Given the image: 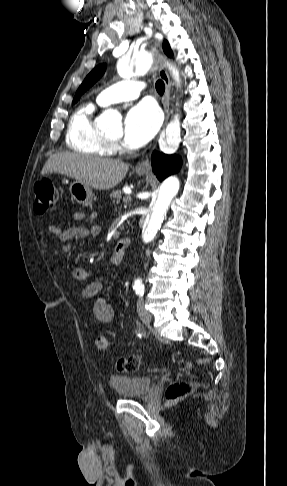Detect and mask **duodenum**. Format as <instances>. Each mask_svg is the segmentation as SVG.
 <instances>
[{"instance_id":"obj_1","label":"duodenum","mask_w":287,"mask_h":486,"mask_svg":"<svg viewBox=\"0 0 287 486\" xmlns=\"http://www.w3.org/2000/svg\"><path fill=\"white\" fill-rule=\"evenodd\" d=\"M129 243H130V239L127 237L119 240L114 248V255L117 256L118 258H123Z\"/></svg>"}]
</instances>
